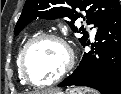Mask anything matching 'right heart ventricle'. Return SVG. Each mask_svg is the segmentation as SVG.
<instances>
[{
    "label": "right heart ventricle",
    "mask_w": 121,
    "mask_h": 94,
    "mask_svg": "<svg viewBox=\"0 0 121 94\" xmlns=\"http://www.w3.org/2000/svg\"><path fill=\"white\" fill-rule=\"evenodd\" d=\"M31 38H27L25 39L24 41H22V43L20 44L19 48H18V51H17V55H16V66H17V71H18V74H19V78L21 79L22 82H24L23 80V77L21 76V73H20V69H19V61H20V55L26 45V43L30 40Z\"/></svg>",
    "instance_id": "right-heart-ventricle-1"
}]
</instances>
